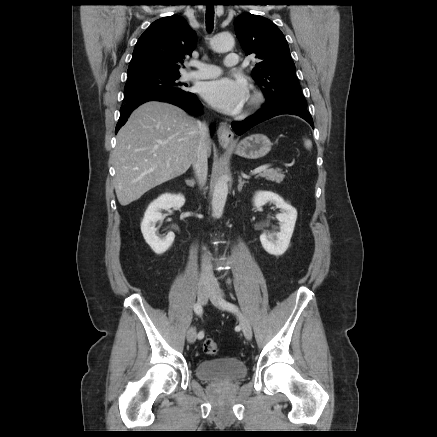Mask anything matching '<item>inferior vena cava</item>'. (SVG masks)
Returning <instances> with one entry per match:
<instances>
[{"label":"inferior vena cava","instance_id":"1","mask_svg":"<svg viewBox=\"0 0 437 437\" xmlns=\"http://www.w3.org/2000/svg\"><path fill=\"white\" fill-rule=\"evenodd\" d=\"M199 134H200V139L192 165L198 177L199 184L201 186H204L206 183L207 172H208L207 159L209 156V143H210L209 128L205 123L199 122ZM214 280L215 277L213 275L210 259L208 258L207 255H204L202 256V262H201L200 281L212 282Z\"/></svg>","mask_w":437,"mask_h":437}]
</instances>
